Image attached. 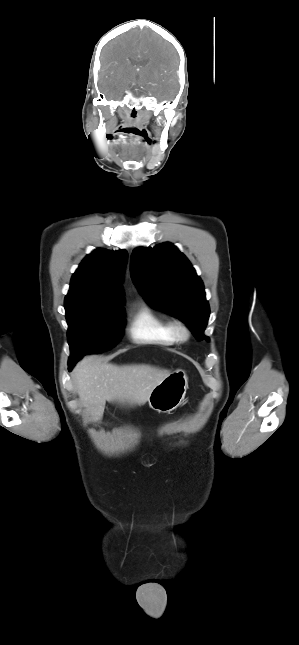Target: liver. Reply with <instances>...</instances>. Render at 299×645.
<instances>
[{"label": "liver", "instance_id": "obj_1", "mask_svg": "<svg viewBox=\"0 0 299 645\" xmlns=\"http://www.w3.org/2000/svg\"><path fill=\"white\" fill-rule=\"evenodd\" d=\"M171 373L149 365L117 366L88 355L77 363L73 380L86 413L94 422L103 417L106 401L144 405L153 388Z\"/></svg>", "mask_w": 299, "mask_h": 645}]
</instances>
